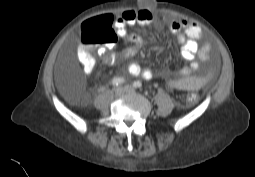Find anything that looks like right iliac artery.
<instances>
[{
	"mask_svg": "<svg viewBox=\"0 0 255 177\" xmlns=\"http://www.w3.org/2000/svg\"><path fill=\"white\" fill-rule=\"evenodd\" d=\"M124 81H125L124 78H122V77H116V78H114V79L112 80V85H113V86H118V85L122 84Z\"/></svg>",
	"mask_w": 255,
	"mask_h": 177,
	"instance_id": "82829eb1",
	"label": "right iliac artery"
}]
</instances>
